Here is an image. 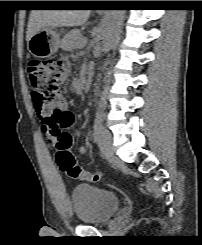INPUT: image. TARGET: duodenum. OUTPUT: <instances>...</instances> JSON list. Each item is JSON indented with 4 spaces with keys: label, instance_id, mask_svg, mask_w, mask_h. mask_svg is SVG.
<instances>
[{
    "label": "duodenum",
    "instance_id": "410a0bca",
    "mask_svg": "<svg viewBox=\"0 0 202 245\" xmlns=\"http://www.w3.org/2000/svg\"><path fill=\"white\" fill-rule=\"evenodd\" d=\"M93 74H94V66L92 64H89L86 68V79L84 83L85 88H88L91 85Z\"/></svg>",
    "mask_w": 202,
    "mask_h": 245
}]
</instances>
